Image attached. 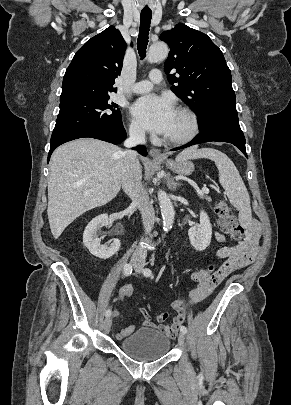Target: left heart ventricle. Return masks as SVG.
Instances as JSON below:
<instances>
[{
  "instance_id": "left-heart-ventricle-1",
  "label": "left heart ventricle",
  "mask_w": 291,
  "mask_h": 405,
  "mask_svg": "<svg viewBox=\"0 0 291 405\" xmlns=\"http://www.w3.org/2000/svg\"><path fill=\"white\" fill-rule=\"evenodd\" d=\"M189 129V124L186 116L175 110L172 124L165 134L167 137L183 136Z\"/></svg>"
}]
</instances>
